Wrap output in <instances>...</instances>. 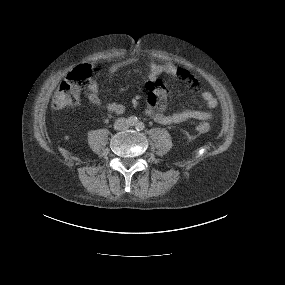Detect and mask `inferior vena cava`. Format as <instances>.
<instances>
[{
	"label": "inferior vena cava",
	"mask_w": 285,
	"mask_h": 285,
	"mask_svg": "<svg viewBox=\"0 0 285 285\" xmlns=\"http://www.w3.org/2000/svg\"><path fill=\"white\" fill-rule=\"evenodd\" d=\"M129 128V121L126 118H118L114 123V129L118 131L127 130Z\"/></svg>",
	"instance_id": "602c4592"
}]
</instances>
